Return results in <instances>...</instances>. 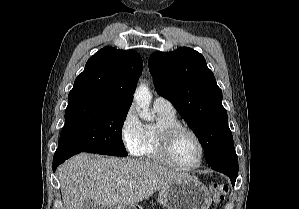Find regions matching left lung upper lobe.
Here are the masks:
<instances>
[{
    "label": "left lung upper lobe",
    "mask_w": 299,
    "mask_h": 209,
    "mask_svg": "<svg viewBox=\"0 0 299 209\" xmlns=\"http://www.w3.org/2000/svg\"><path fill=\"white\" fill-rule=\"evenodd\" d=\"M159 95L168 99L198 137L210 166L233 146L222 91L204 57L183 47L155 52L148 61Z\"/></svg>",
    "instance_id": "1"
}]
</instances>
